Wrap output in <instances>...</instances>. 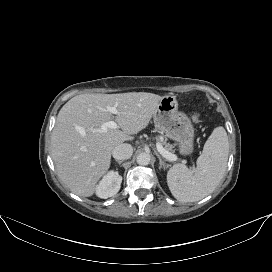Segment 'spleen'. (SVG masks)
Masks as SVG:
<instances>
[{
  "mask_svg": "<svg viewBox=\"0 0 272 272\" xmlns=\"http://www.w3.org/2000/svg\"><path fill=\"white\" fill-rule=\"evenodd\" d=\"M229 143L225 129L216 127L206 141L202 154L193 170L175 164L167 173L172 195L181 202L203 199L220 183L227 167Z\"/></svg>",
  "mask_w": 272,
  "mask_h": 272,
  "instance_id": "3e777b00",
  "label": "spleen"
}]
</instances>
